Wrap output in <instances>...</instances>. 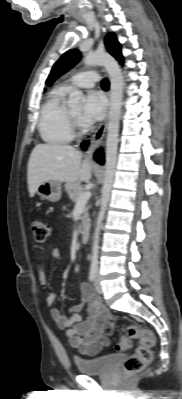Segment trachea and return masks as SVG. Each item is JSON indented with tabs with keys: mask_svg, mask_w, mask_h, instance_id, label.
<instances>
[{
	"mask_svg": "<svg viewBox=\"0 0 182 399\" xmlns=\"http://www.w3.org/2000/svg\"><path fill=\"white\" fill-rule=\"evenodd\" d=\"M101 86H102V88H104V89H108V88H109V81H108V79L104 78V79L102 80V82H101Z\"/></svg>",
	"mask_w": 182,
	"mask_h": 399,
	"instance_id": "3493384b",
	"label": "trachea"
}]
</instances>
